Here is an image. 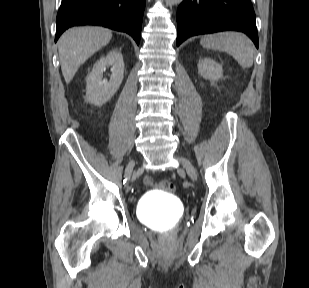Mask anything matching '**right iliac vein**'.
<instances>
[{
	"label": "right iliac vein",
	"instance_id": "obj_1",
	"mask_svg": "<svg viewBox=\"0 0 309 288\" xmlns=\"http://www.w3.org/2000/svg\"><path fill=\"white\" fill-rule=\"evenodd\" d=\"M134 165H135L134 161H130L129 164L127 165L126 171H125L127 176L133 173Z\"/></svg>",
	"mask_w": 309,
	"mask_h": 288
}]
</instances>
